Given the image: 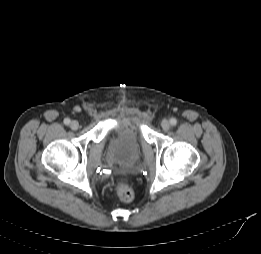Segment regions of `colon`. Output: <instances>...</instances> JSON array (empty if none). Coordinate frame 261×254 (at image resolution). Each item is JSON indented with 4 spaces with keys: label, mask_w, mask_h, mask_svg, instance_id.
<instances>
[{
    "label": "colon",
    "mask_w": 261,
    "mask_h": 254,
    "mask_svg": "<svg viewBox=\"0 0 261 254\" xmlns=\"http://www.w3.org/2000/svg\"><path fill=\"white\" fill-rule=\"evenodd\" d=\"M118 197L123 202H130L134 197V192L131 186L127 182H120L116 187Z\"/></svg>",
    "instance_id": "1"
}]
</instances>
